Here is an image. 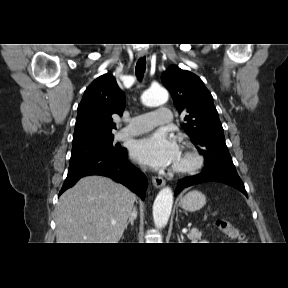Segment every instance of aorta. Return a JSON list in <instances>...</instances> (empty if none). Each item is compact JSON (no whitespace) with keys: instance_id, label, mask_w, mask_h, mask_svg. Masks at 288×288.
<instances>
[{"instance_id":"aorta-1","label":"aorta","mask_w":288,"mask_h":288,"mask_svg":"<svg viewBox=\"0 0 288 288\" xmlns=\"http://www.w3.org/2000/svg\"><path fill=\"white\" fill-rule=\"evenodd\" d=\"M141 100L144 105L149 107L161 105L167 102L168 93L162 87L151 88L143 93ZM172 205V190L169 187L161 189L153 204V219L157 228L166 226L171 214Z\"/></svg>"}]
</instances>
